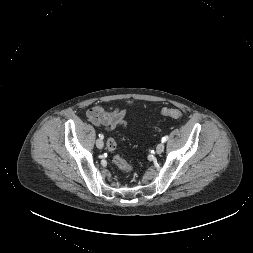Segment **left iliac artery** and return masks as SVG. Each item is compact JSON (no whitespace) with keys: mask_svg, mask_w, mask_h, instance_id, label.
Masks as SVG:
<instances>
[{"mask_svg":"<svg viewBox=\"0 0 253 253\" xmlns=\"http://www.w3.org/2000/svg\"><path fill=\"white\" fill-rule=\"evenodd\" d=\"M167 139H168V136H164V137L162 138V143L166 142Z\"/></svg>","mask_w":253,"mask_h":253,"instance_id":"1","label":"left iliac artery"}]
</instances>
